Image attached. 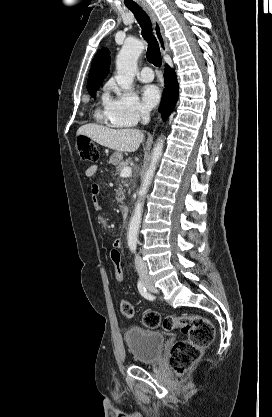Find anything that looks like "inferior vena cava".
<instances>
[{"label":"inferior vena cava","instance_id":"1","mask_svg":"<svg viewBox=\"0 0 272 417\" xmlns=\"http://www.w3.org/2000/svg\"><path fill=\"white\" fill-rule=\"evenodd\" d=\"M142 123L145 125L150 121V112L146 109L141 110ZM135 267L139 275L147 274L146 263L142 260L139 255L135 257Z\"/></svg>","mask_w":272,"mask_h":417}]
</instances>
